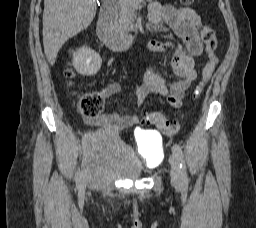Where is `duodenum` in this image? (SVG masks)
Returning <instances> with one entry per match:
<instances>
[{
    "label": "duodenum",
    "mask_w": 256,
    "mask_h": 228,
    "mask_svg": "<svg viewBox=\"0 0 256 228\" xmlns=\"http://www.w3.org/2000/svg\"><path fill=\"white\" fill-rule=\"evenodd\" d=\"M113 3L112 0L105 2L100 10L96 25V33L99 39L110 49L115 51L126 50L135 42V36L119 33L112 26Z\"/></svg>",
    "instance_id": "1"
}]
</instances>
